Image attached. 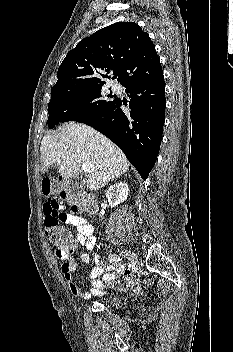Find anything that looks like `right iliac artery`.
<instances>
[{
  "label": "right iliac artery",
  "instance_id": "1",
  "mask_svg": "<svg viewBox=\"0 0 233 352\" xmlns=\"http://www.w3.org/2000/svg\"><path fill=\"white\" fill-rule=\"evenodd\" d=\"M109 261L116 264L118 262H121L122 259L119 256H117V255H110L109 256Z\"/></svg>",
  "mask_w": 233,
  "mask_h": 352
}]
</instances>
